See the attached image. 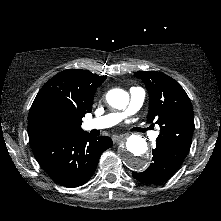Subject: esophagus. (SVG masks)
Here are the masks:
<instances>
[{
    "mask_svg": "<svg viewBox=\"0 0 221 221\" xmlns=\"http://www.w3.org/2000/svg\"><path fill=\"white\" fill-rule=\"evenodd\" d=\"M126 139V135H115L112 137L113 143L117 144Z\"/></svg>",
    "mask_w": 221,
    "mask_h": 221,
    "instance_id": "esophagus-1",
    "label": "esophagus"
}]
</instances>
